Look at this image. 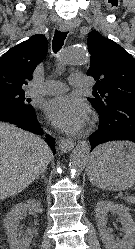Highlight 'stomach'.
<instances>
[{"instance_id":"0dacf381","label":"stomach","mask_w":135,"mask_h":249,"mask_svg":"<svg viewBox=\"0 0 135 249\" xmlns=\"http://www.w3.org/2000/svg\"><path fill=\"white\" fill-rule=\"evenodd\" d=\"M88 177L92 184L106 190H125L133 186L135 144L110 142L98 147L90 158Z\"/></svg>"}]
</instances>
